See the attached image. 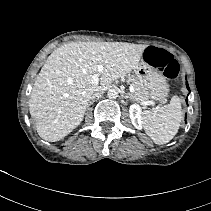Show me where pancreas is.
I'll return each instance as SVG.
<instances>
[{"label":"pancreas","instance_id":"obj_1","mask_svg":"<svg viewBox=\"0 0 211 211\" xmlns=\"http://www.w3.org/2000/svg\"><path fill=\"white\" fill-rule=\"evenodd\" d=\"M129 81L132 82V86L135 89L134 97L138 101H146L149 98V90L148 88L138 79L129 77Z\"/></svg>","mask_w":211,"mask_h":211}]
</instances>
